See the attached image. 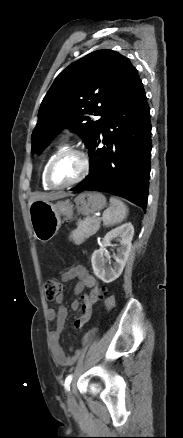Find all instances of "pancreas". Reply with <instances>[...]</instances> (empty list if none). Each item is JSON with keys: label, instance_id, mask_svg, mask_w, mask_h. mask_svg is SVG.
Wrapping results in <instances>:
<instances>
[{"label": "pancreas", "instance_id": "cf45deb5", "mask_svg": "<svg viewBox=\"0 0 183 438\" xmlns=\"http://www.w3.org/2000/svg\"><path fill=\"white\" fill-rule=\"evenodd\" d=\"M99 228V218L87 217L84 220H79L77 223V229L70 235V240H73L76 245H80L90 236L94 235Z\"/></svg>", "mask_w": 183, "mask_h": 438}]
</instances>
